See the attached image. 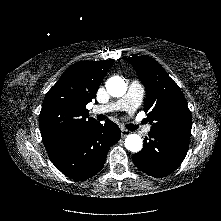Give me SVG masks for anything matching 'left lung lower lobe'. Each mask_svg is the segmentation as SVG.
I'll list each match as a JSON object with an SVG mask.
<instances>
[{"mask_svg":"<svg viewBox=\"0 0 221 221\" xmlns=\"http://www.w3.org/2000/svg\"><path fill=\"white\" fill-rule=\"evenodd\" d=\"M189 140L150 131L143 149L132 156L137 168L153 177H163L177 169L184 160Z\"/></svg>","mask_w":221,"mask_h":221,"instance_id":"obj_1","label":"left lung lower lobe"}]
</instances>
